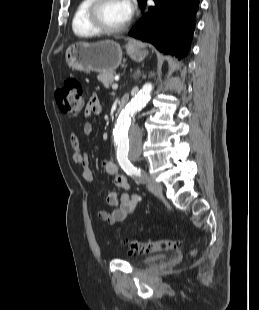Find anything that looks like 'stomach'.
I'll return each mask as SVG.
<instances>
[{"label":"stomach","mask_w":259,"mask_h":310,"mask_svg":"<svg viewBox=\"0 0 259 310\" xmlns=\"http://www.w3.org/2000/svg\"><path fill=\"white\" fill-rule=\"evenodd\" d=\"M128 55L137 62H141L148 51L141 49L136 43L129 42L126 45ZM66 62L75 70L82 72H113L122 60L120 45L111 40L97 43L77 42L66 50Z\"/></svg>","instance_id":"stomach-1"}]
</instances>
